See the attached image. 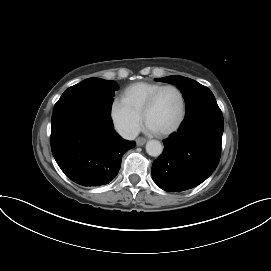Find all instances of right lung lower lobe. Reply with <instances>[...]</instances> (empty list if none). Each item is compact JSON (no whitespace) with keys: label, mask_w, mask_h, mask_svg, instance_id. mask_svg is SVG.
Returning a JSON list of instances; mask_svg holds the SVG:
<instances>
[{"label":"right lung lower lobe","mask_w":271,"mask_h":271,"mask_svg":"<svg viewBox=\"0 0 271 271\" xmlns=\"http://www.w3.org/2000/svg\"><path fill=\"white\" fill-rule=\"evenodd\" d=\"M51 149L61 170L82 186L108 184L117 175L123 154L135 146L113 129L110 110L90 106L51 119Z\"/></svg>","instance_id":"98d812e1"}]
</instances>
